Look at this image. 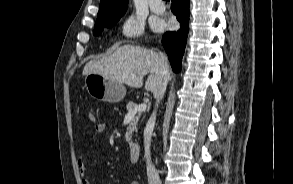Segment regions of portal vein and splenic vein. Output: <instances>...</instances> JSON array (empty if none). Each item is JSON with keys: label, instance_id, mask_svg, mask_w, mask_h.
Returning <instances> with one entry per match:
<instances>
[{"label": "portal vein and splenic vein", "instance_id": "1", "mask_svg": "<svg viewBox=\"0 0 293 184\" xmlns=\"http://www.w3.org/2000/svg\"><path fill=\"white\" fill-rule=\"evenodd\" d=\"M147 108V105L145 102L141 103L140 105H138L133 111H131L132 113H136V112H142L145 111Z\"/></svg>", "mask_w": 293, "mask_h": 184}]
</instances>
